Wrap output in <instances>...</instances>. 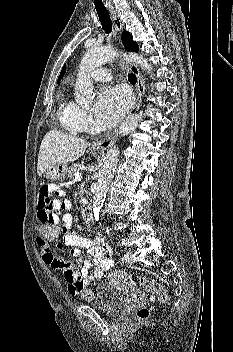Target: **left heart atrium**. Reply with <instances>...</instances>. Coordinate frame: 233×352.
I'll list each match as a JSON object with an SVG mask.
<instances>
[{"label": "left heart atrium", "mask_w": 233, "mask_h": 352, "mask_svg": "<svg viewBox=\"0 0 233 352\" xmlns=\"http://www.w3.org/2000/svg\"><path fill=\"white\" fill-rule=\"evenodd\" d=\"M130 96L119 86L103 89L96 102V116L100 124L106 127L116 124L129 107Z\"/></svg>", "instance_id": "left-heart-atrium-1"}]
</instances>
